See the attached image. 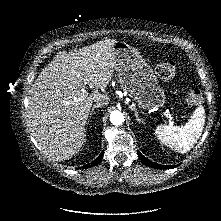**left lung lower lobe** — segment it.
<instances>
[{
  "label": "left lung lower lobe",
  "mask_w": 221,
  "mask_h": 221,
  "mask_svg": "<svg viewBox=\"0 0 221 221\" xmlns=\"http://www.w3.org/2000/svg\"><path fill=\"white\" fill-rule=\"evenodd\" d=\"M138 156L141 159V161L149 167L152 168H156V169H170V168H174L175 166H166V165H161V164H157L155 162H152L150 160H148L147 158H145L140 152H138Z\"/></svg>",
  "instance_id": "left-lung-lower-lobe-1"
}]
</instances>
